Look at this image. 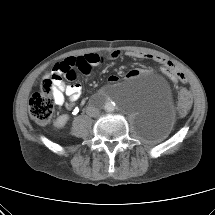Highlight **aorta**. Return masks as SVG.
Wrapping results in <instances>:
<instances>
[{
	"mask_svg": "<svg viewBox=\"0 0 215 215\" xmlns=\"http://www.w3.org/2000/svg\"><path fill=\"white\" fill-rule=\"evenodd\" d=\"M112 98L114 100H122V87L121 86H115L112 88ZM116 104L113 100H109L105 103L104 109L107 112H113L115 110Z\"/></svg>",
	"mask_w": 215,
	"mask_h": 215,
	"instance_id": "762f6f07",
	"label": "aorta"
}]
</instances>
